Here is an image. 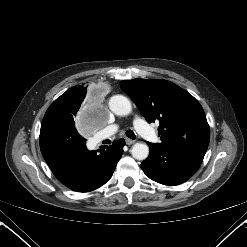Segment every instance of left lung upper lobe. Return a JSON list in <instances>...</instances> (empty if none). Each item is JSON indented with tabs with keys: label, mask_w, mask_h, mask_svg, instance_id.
Here are the masks:
<instances>
[{
	"label": "left lung upper lobe",
	"mask_w": 247,
	"mask_h": 247,
	"mask_svg": "<svg viewBox=\"0 0 247 247\" xmlns=\"http://www.w3.org/2000/svg\"><path fill=\"white\" fill-rule=\"evenodd\" d=\"M146 120L158 121L161 145L209 143L210 131L200 103L187 91L166 80L133 79L120 82Z\"/></svg>",
	"instance_id": "1"
}]
</instances>
